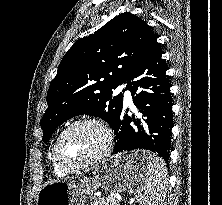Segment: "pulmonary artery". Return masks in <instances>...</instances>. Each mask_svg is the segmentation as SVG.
<instances>
[{"mask_svg":"<svg viewBox=\"0 0 222 205\" xmlns=\"http://www.w3.org/2000/svg\"><path fill=\"white\" fill-rule=\"evenodd\" d=\"M124 97H125V101H126L127 103H131L132 99H131V94H130L129 91H125Z\"/></svg>","mask_w":222,"mask_h":205,"instance_id":"e3ab8cb5","label":"pulmonary artery"}]
</instances>
